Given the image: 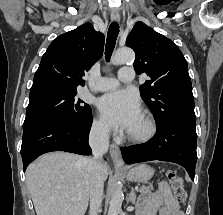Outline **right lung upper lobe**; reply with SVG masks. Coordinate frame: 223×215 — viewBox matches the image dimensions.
<instances>
[{
  "label": "right lung upper lobe",
  "mask_w": 223,
  "mask_h": 215,
  "mask_svg": "<svg viewBox=\"0 0 223 215\" xmlns=\"http://www.w3.org/2000/svg\"><path fill=\"white\" fill-rule=\"evenodd\" d=\"M104 35L86 23L58 36L48 47L35 73L30 92L77 91L82 76L102 56Z\"/></svg>",
  "instance_id": "obj_1"
}]
</instances>
